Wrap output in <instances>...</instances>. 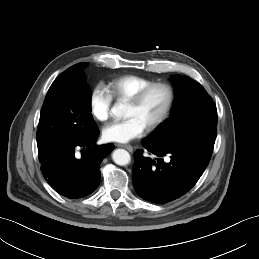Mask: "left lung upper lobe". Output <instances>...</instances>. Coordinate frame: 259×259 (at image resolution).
I'll return each instance as SVG.
<instances>
[{
  "instance_id": "left-lung-upper-lobe-1",
  "label": "left lung upper lobe",
  "mask_w": 259,
  "mask_h": 259,
  "mask_svg": "<svg viewBox=\"0 0 259 259\" xmlns=\"http://www.w3.org/2000/svg\"><path fill=\"white\" fill-rule=\"evenodd\" d=\"M176 98L172 114L148 140L163 146H175L195 137L216 139L217 109L201 84L187 76L172 78Z\"/></svg>"
}]
</instances>
